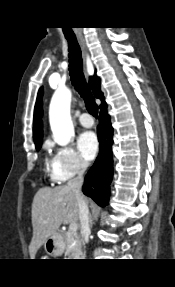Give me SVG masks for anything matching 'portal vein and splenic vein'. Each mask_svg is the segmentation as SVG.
<instances>
[{"label":"portal vein and splenic vein","mask_w":175,"mask_h":287,"mask_svg":"<svg viewBox=\"0 0 175 287\" xmlns=\"http://www.w3.org/2000/svg\"><path fill=\"white\" fill-rule=\"evenodd\" d=\"M69 231L76 232L77 231V224L76 223H71L69 225Z\"/></svg>","instance_id":"obj_1"}]
</instances>
